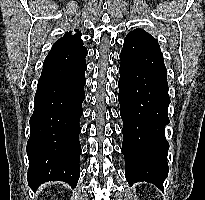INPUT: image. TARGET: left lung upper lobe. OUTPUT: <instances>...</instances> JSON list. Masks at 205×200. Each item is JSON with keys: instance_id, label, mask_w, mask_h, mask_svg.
Segmentation results:
<instances>
[{"instance_id": "5c2ea615", "label": "left lung upper lobe", "mask_w": 205, "mask_h": 200, "mask_svg": "<svg viewBox=\"0 0 205 200\" xmlns=\"http://www.w3.org/2000/svg\"><path fill=\"white\" fill-rule=\"evenodd\" d=\"M132 37H152V36L147 32H145L144 30L138 28L133 30L126 36V38H132Z\"/></svg>"}]
</instances>
